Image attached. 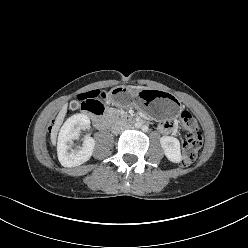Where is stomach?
<instances>
[{
  "instance_id": "obj_1",
  "label": "stomach",
  "mask_w": 248,
  "mask_h": 248,
  "mask_svg": "<svg viewBox=\"0 0 248 248\" xmlns=\"http://www.w3.org/2000/svg\"><path fill=\"white\" fill-rule=\"evenodd\" d=\"M113 91V97L118 106L129 107L137 103L140 110L156 120L173 118L181 109L179 100L165 91L143 89L136 92L128 86H119Z\"/></svg>"
}]
</instances>
